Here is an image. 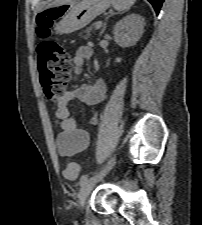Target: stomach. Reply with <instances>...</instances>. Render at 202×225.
Segmentation results:
<instances>
[{
	"label": "stomach",
	"mask_w": 202,
	"mask_h": 225,
	"mask_svg": "<svg viewBox=\"0 0 202 225\" xmlns=\"http://www.w3.org/2000/svg\"><path fill=\"white\" fill-rule=\"evenodd\" d=\"M111 5V0H82L77 4H63L49 9L61 8V20L54 25L58 34H70L87 26L97 16L104 13ZM48 9V10H49Z\"/></svg>",
	"instance_id": "stomach-1"
}]
</instances>
